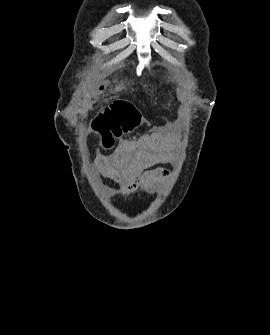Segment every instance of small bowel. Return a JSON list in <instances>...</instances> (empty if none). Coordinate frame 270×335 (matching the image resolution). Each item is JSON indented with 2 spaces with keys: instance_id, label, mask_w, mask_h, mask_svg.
Instances as JSON below:
<instances>
[{
  "instance_id": "c3829d8e",
  "label": "small bowel",
  "mask_w": 270,
  "mask_h": 335,
  "mask_svg": "<svg viewBox=\"0 0 270 335\" xmlns=\"http://www.w3.org/2000/svg\"><path fill=\"white\" fill-rule=\"evenodd\" d=\"M175 137L173 124L155 126L139 137L122 141L112 154L97 155L96 170L120 185L113 195L125 197L139 187L153 192L170 176L167 169L158 166L172 161Z\"/></svg>"
}]
</instances>
